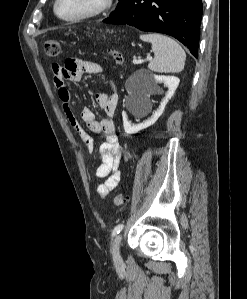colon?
<instances>
[{"instance_id":"obj_1","label":"colon","mask_w":247,"mask_h":299,"mask_svg":"<svg viewBox=\"0 0 247 299\" xmlns=\"http://www.w3.org/2000/svg\"><path fill=\"white\" fill-rule=\"evenodd\" d=\"M44 52L49 57H57L60 53V45L57 40L49 39L44 42ZM111 56L117 64H121L123 58L121 54L117 51H111ZM113 203L115 206H123L128 203V197L118 193L113 198Z\"/></svg>"}]
</instances>
